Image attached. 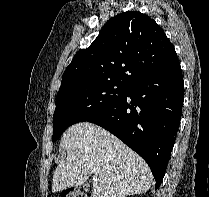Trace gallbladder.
I'll use <instances>...</instances> for the list:
<instances>
[{
    "instance_id": "obj_1",
    "label": "gallbladder",
    "mask_w": 209,
    "mask_h": 197,
    "mask_svg": "<svg viewBox=\"0 0 209 197\" xmlns=\"http://www.w3.org/2000/svg\"><path fill=\"white\" fill-rule=\"evenodd\" d=\"M89 184L88 183H86V184H84L83 185V189L85 190V191H88L89 190Z\"/></svg>"
}]
</instances>
